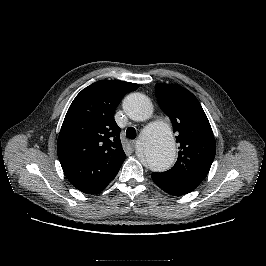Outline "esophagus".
Listing matches in <instances>:
<instances>
[{
	"label": "esophagus",
	"mask_w": 266,
	"mask_h": 266,
	"mask_svg": "<svg viewBox=\"0 0 266 266\" xmlns=\"http://www.w3.org/2000/svg\"><path fill=\"white\" fill-rule=\"evenodd\" d=\"M136 142H137L136 140H131V141H130V144H131L132 148H134V147H135V145H136Z\"/></svg>",
	"instance_id": "obj_1"
}]
</instances>
